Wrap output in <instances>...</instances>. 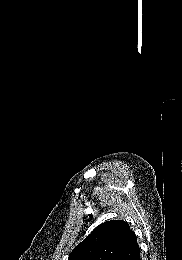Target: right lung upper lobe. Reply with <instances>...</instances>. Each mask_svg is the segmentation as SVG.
Listing matches in <instances>:
<instances>
[{
  "mask_svg": "<svg viewBox=\"0 0 182 260\" xmlns=\"http://www.w3.org/2000/svg\"><path fill=\"white\" fill-rule=\"evenodd\" d=\"M140 253L136 235L123 220L96 227L69 255L68 260H133Z\"/></svg>",
  "mask_w": 182,
  "mask_h": 260,
  "instance_id": "cb5924a9",
  "label": "right lung upper lobe"
}]
</instances>
